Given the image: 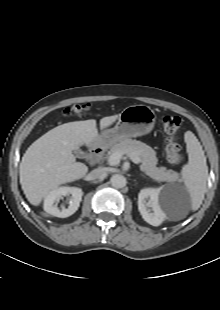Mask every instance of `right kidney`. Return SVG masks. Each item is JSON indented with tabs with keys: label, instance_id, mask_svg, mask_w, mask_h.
Returning <instances> with one entry per match:
<instances>
[{
	"label": "right kidney",
	"instance_id": "1",
	"mask_svg": "<svg viewBox=\"0 0 220 310\" xmlns=\"http://www.w3.org/2000/svg\"><path fill=\"white\" fill-rule=\"evenodd\" d=\"M70 196L69 198V206L67 209L63 208L60 210L56 203L65 196ZM83 192L80 188L77 187H67L62 186L58 188H54L51 190L44 199V210L53 216L66 218L74 214L80 205L82 200Z\"/></svg>",
	"mask_w": 220,
	"mask_h": 310
}]
</instances>
